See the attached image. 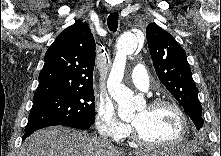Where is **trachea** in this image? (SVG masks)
I'll return each instance as SVG.
<instances>
[{"label":"trachea","mask_w":221,"mask_h":156,"mask_svg":"<svg viewBox=\"0 0 221 156\" xmlns=\"http://www.w3.org/2000/svg\"><path fill=\"white\" fill-rule=\"evenodd\" d=\"M108 28L112 32H116L118 28V13L113 12L108 16L107 19Z\"/></svg>","instance_id":"trachea-1"}]
</instances>
